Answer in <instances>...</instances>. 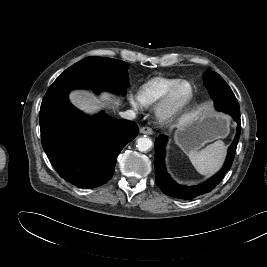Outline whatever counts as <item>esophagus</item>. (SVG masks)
Segmentation results:
<instances>
[{
    "label": "esophagus",
    "mask_w": 267,
    "mask_h": 267,
    "mask_svg": "<svg viewBox=\"0 0 267 267\" xmlns=\"http://www.w3.org/2000/svg\"><path fill=\"white\" fill-rule=\"evenodd\" d=\"M140 133L146 134V135H151L153 133V130L150 127L144 126L140 128Z\"/></svg>",
    "instance_id": "1"
}]
</instances>
